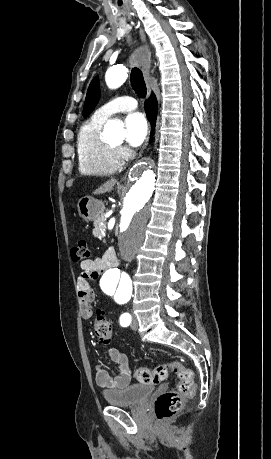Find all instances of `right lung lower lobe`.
Returning <instances> with one entry per match:
<instances>
[{
    "label": "right lung lower lobe",
    "mask_w": 271,
    "mask_h": 459,
    "mask_svg": "<svg viewBox=\"0 0 271 459\" xmlns=\"http://www.w3.org/2000/svg\"><path fill=\"white\" fill-rule=\"evenodd\" d=\"M145 109L147 116L154 128L156 116H157V100L155 95H152L145 103Z\"/></svg>",
    "instance_id": "obj_1"
}]
</instances>
